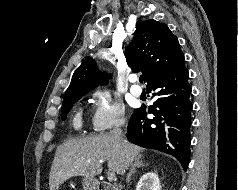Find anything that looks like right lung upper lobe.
Returning <instances> with one entry per match:
<instances>
[{
  "instance_id": "cb5924a9",
  "label": "right lung upper lobe",
  "mask_w": 238,
  "mask_h": 190,
  "mask_svg": "<svg viewBox=\"0 0 238 190\" xmlns=\"http://www.w3.org/2000/svg\"><path fill=\"white\" fill-rule=\"evenodd\" d=\"M127 64L134 72L141 71L147 85L173 70L183 59L178 39L164 23L154 19L138 21L134 38L125 51ZM94 59L87 57L76 69L65 97L86 94L102 81Z\"/></svg>"
}]
</instances>
